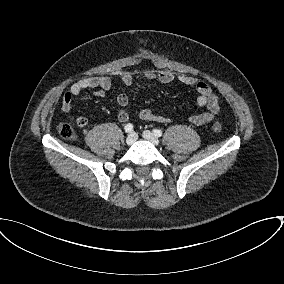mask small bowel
I'll list each match as a JSON object with an SVG mask.
<instances>
[{
    "label": "small bowel",
    "mask_w": 284,
    "mask_h": 284,
    "mask_svg": "<svg viewBox=\"0 0 284 284\" xmlns=\"http://www.w3.org/2000/svg\"><path fill=\"white\" fill-rule=\"evenodd\" d=\"M145 76L149 79L157 80L162 84H168L172 82H179L185 86L192 87L197 92L196 104L200 108H206V111L195 114L189 118V121L194 125H203L211 122L219 113L220 105L219 98L215 95L208 84L203 81H199L196 78L184 75L175 74L170 71H155L149 70L145 73ZM134 78L130 73H122L120 75V82L129 86L133 83ZM113 87V80L107 76H90L82 78L74 82L69 89L64 93L62 98V109L65 113H70L72 110V100L78 96L83 90H93V94L96 97H103L108 90ZM117 105L119 107L117 111V119L120 122H126L129 119V112L127 106L129 103L128 96L125 93H120L116 98ZM140 118L148 122L157 123H169L170 119L155 113L151 109H142L139 113ZM88 123L86 117H78L77 125L79 127H85Z\"/></svg>",
    "instance_id": "1"
}]
</instances>
